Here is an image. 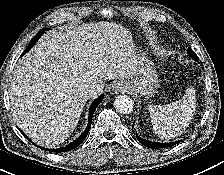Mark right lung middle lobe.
Instances as JSON below:
<instances>
[{"instance_id":"obj_1","label":"right lung middle lobe","mask_w":224,"mask_h":175,"mask_svg":"<svg viewBox=\"0 0 224 175\" xmlns=\"http://www.w3.org/2000/svg\"><path fill=\"white\" fill-rule=\"evenodd\" d=\"M48 29H46V28H43L41 31H39L38 33H37V35L34 37L35 39H39V37L45 32V31H47Z\"/></svg>"}]
</instances>
